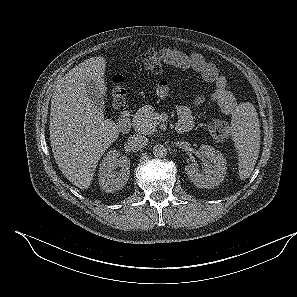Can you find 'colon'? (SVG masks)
Here are the masks:
<instances>
[{"label":"colon","instance_id":"obj_1","mask_svg":"<svg viewBox=\"0 0 297 297\" xmlns=\"http://www.w3.org/2000/svg\"><path fill=\"white\" fill-rule=\"evenodd\" d=\"M135 63L139 69L153 73H160L164 69L162 54L157 50H149L138 55ZM110 93L113 105L117 109H122L125 106L126 96V89L122 79H116L113 81ZM208 131L210 135L218 141L227 139L230 134L228 123L218 116H214L210 119Z\"/></svg>","mask_w":297,"mask_h":297}]
</instances>
